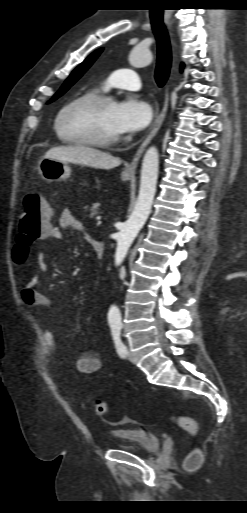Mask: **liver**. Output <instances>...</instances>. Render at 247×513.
Masks as SVG:
<instances>
[{"label":"liver","mask_w":247,"mask_h":513,"mask_svg":"<svg viewBox=\"0 0 247 513\" xmlns=\"http://www.w3.org/2000/svg\"><path fill=\"white\" fill-rule=\"evenodd\" d=\"M44 157L96 169H111L121 164L119 158L107 152L81 145L54 147L48 150Z\"/></svg>","instance_id":"liver-1"}]
</instances>
